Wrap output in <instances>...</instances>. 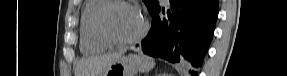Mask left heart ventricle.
I'll return each mask as SVG.
<instances>
[{"label": "left heart ventricle", "mask_w": 287, "mask_h": 76, "mask_svg": "<svg viewBox=\"0 0 287 76\" xmlns=\"http://www.w3.org/2000/svg\"><path fill=\"white\" fill-rule=\"evenodd\" d=\"M106 26L117 38L129 39L136 36L143 27L141 13L129 6H115L106 18Z\"/></svg>", "instance_id": "obj_1"}]
</instances>
